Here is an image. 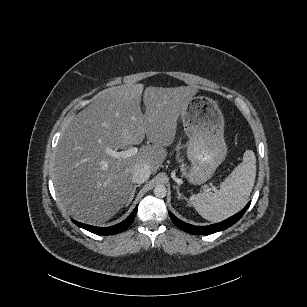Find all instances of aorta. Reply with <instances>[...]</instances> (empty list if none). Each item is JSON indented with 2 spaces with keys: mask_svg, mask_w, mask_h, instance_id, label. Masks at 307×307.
<instances>
[{
  "mask_svg": "<svg viewBox=\"0 0 307 307\" xmlns=\"http://www.w3.org/2000/svg\"><path fill=\"white\" fill-rule=\"evenodd\" d=\"M154 194L158 198H163L167 194V188L163 184H157L154 187Z\"/></svg>",
  "mask_w": 307,
  "mask_h": 307,
  "instance_id": "obj_1",
  "label": "aorta"
}]
</instances>
